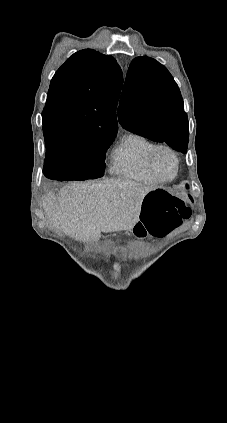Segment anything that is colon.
<instances>
[{
  "label": "colon",
  "mask_w": 227,
  "mask_h": 423,
  "mask_svg": "<svg viewBox=\"0 0 227 423\" xmlns=\"http://www.w3.org/2000/svg\"><path fill=\"white\" fill-rule=\"evenodd\" d=\"M191 209L164 188L153 189L143 200L141 222L155 236H164L189 218Z\"/></svg>",
  "instance_id": "colon-1"
}]
</instances>
